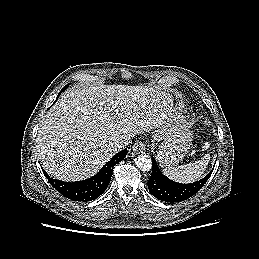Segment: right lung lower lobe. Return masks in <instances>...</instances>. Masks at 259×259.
<instances>
[{
    "mask_svg": "<svg viewBox=\"0 0 259 259\" xmlns=\"http://www.w3.org/2000/svg\"><path fill=\"white\" fill-rule=\"evenodd\" d=\"M62 91L64 90L62 89ZM126 154H127L126 149L120 151L115 156H113V158L109 162H107L96 175L83 181H76V182L60 181V180L51 178L43 169L42 170L45 177L50 182V184L63 196L73 201L87 202V201L94 200L97 197H99L101 194H103V192L107 189L109 185V182L112 176L113 167L119 162H121L126 157Z\"/></svg>",
    "mask_w": 259,
    "mask_h": 259,
    "instance_id": "1",
    "label": "right lung lower lobe"
}]
</instances>
